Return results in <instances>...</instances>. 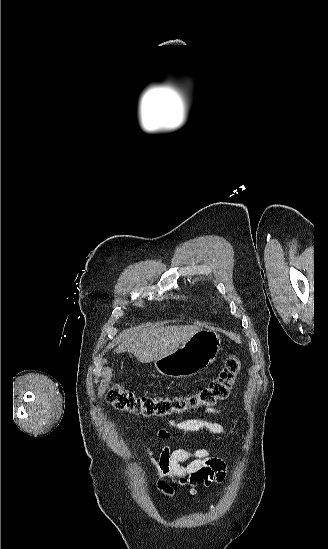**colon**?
I'll list each match as a JSON object with an SVG mask.
<instances>
[{
    "label": "colon",
    "mask_w": 328,
    "mask_h": 549,
    "mask_svg": "<svg viewBox=\"0 0 328 549\" xmlns=\"http://www.w3.org/2000/svg\"><path fill=\"white\" fill-rule=\"evenodd\" d=\"M240 369V360L236 355L230 354L218 377L198 392L174 397L139 396L119 385H114L108 390L106 398L117 409L144 416L180 414L192 409L211 407L225 399L229 395ZM160 487L167 492L171 491V488L165 484H161Z\"/></svg>",
    "instance_id": "obj_1"
}]
</instances>
